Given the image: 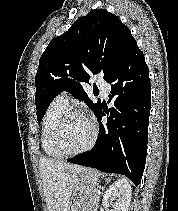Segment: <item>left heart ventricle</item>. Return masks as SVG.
<instances>
[{
    "mask_svg": "<svg viewBox=\"0 0 178 211\" xmlns=\"http://www.w3.org/2000/svg\"><path fill=\"white\" fill-rule=\"evenodd\" d=\"M91 132V124L86 118L81 116L72 117L62 138L63 149L68 152L82 149L89 143Z\"/></svg>",
    "mask_w": 178,
    "mask_h": 211,
    "instance_id": "1",
    "label": "left heart ventricle"
}]
</instances>
